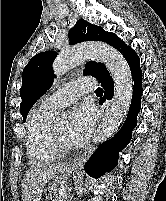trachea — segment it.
<instances>
[{"label":"trachea","instance_id":"obj_1","mask_svg":"<svg viewBox=\"0 0 166 201\" xmlns=\"http://www.w3.org/2000/svg\"><path fill=\"white\" fill-rule=\"evenodd\" d=\"M96 94H103V89L98 87L95 91Z\"/></svg>","mask_w":166,"mask_h":201}]
</instances>
